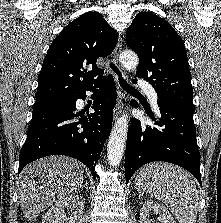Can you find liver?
Here are the masks:
<instances>
[{"label": "liver", "instance_id": "1", "mask_svg": "<svg viewBox=\"0 0 221 223\" xmlns=\"http://www.w3.org/2000/svg\"><path fill=\"white\" fill-rule=\"evenodd\" d=\"M82 164L66 156H48L28 164L18 179L19 201L28 221L57 201L77 192L83 182Z\"/></svg>", "mask_w": 221, "mask_h": 223}]
</instances>
